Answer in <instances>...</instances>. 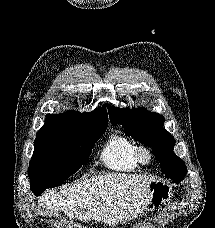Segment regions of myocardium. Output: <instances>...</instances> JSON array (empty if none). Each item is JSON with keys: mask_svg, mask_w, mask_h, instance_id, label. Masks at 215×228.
I'll return each mask as SVG.
<instances>
[{"mask_svg": "<svg viewBox=\"0 0 215 228\" xmlns=\"http://www.w3.org/2000/svg\"><path fill=\"white\" fill-rule=\"evenodd\" d=\"M135 157L139 164L141 165H149L153 161V153L151 149L147 146H137L135 150Z\"/></svg>", "mask_w": 215, "mask_h": 228, "instance_id": "obj_1", "label": "myocardium"}]
</instances>
